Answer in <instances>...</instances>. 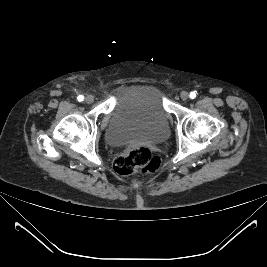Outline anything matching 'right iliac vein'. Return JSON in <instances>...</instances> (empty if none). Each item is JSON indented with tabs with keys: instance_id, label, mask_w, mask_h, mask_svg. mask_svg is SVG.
Returning <instances> with one entry per match:
<instances>
[{
	"instance_id": "obj_1",
	"label": "right iliac vein",
	"mask_w": 267,
	"mask_h": 267,
	"mask_svg": "<svg viewBox=\"0 0 267 267\" xmlns=\"http://www.w3.org/2000/svg\"><path fill=\"white\" fill-rule=\"evenodd\" d=\"M85 102H86L87 104H91V103H93V102H94V97H93L92 95H87V96L85 97Z\"/></svg>"
}]
</instances>
